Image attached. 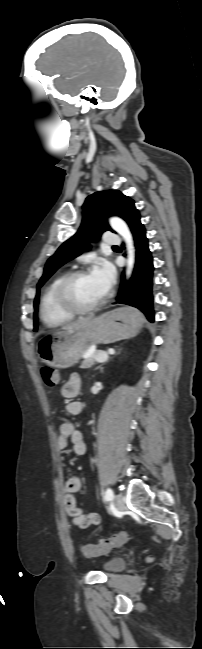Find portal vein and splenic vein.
I'll return each mask as SVG.
<instances>
[{"mask_svg":"<svg viewBox=\"0 0 202 649\" xmlns=\"http://www.w3.org/2000/svg\"><path fill=\"white\" fill-rule=\"evenodd\" d=\"M108 353L109 354H114V350H109ZM87 357H88V355L84 356V358H87ZM107 359H108V354H106V353H99V354H97L95 356V361H97L99 363L105 362V361H107Z\"/></svg>","mask_w":202,"mask_h":649,"instance_id":"obj_1","label":"portal vein and splenic vein"}]
</instances>
